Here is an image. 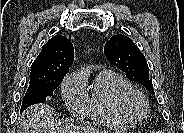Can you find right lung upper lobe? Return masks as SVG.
Returning a JSON list of instances; mask_svg holds the SVG:
<instances>
[{"label": "right lung upper lobe", "instance_id": "obj_1", "mask_svg": "<svg viewBox=\"0 0 184 133\" xmlns=\"http://www.w3.org/2000/svg\"><path fill=\"white\" fill-rule=\"evenodd\" d=\"M73 61L74 48L71 41L56 35L42 47L32 63L29 83H47L56 77L64 78Z\"/></svg>", "mask_w": 184, "mask_h": 133}]
</instances>
